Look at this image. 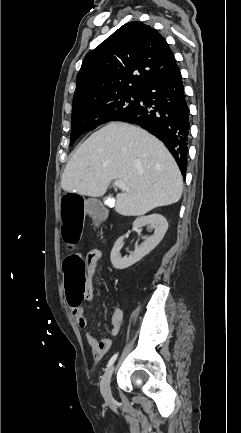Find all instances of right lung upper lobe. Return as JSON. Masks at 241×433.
<instances>
[{
    "instance_id": "right-lung-upper-lobe-1",
    "label": "right lung upper lobe",
    "mask_w": 241,
    "mask_h": 433,
    "mask_svg": "<svg viewBox=\"0 0 241 433\" xmlns=\"http://www.w3.org/2000/svg\"><path fill=\"white\" fill-rule=\"evenodd\" d=\"M175 65L170 47L155 29L138 21L126 23L85 56L73 104L140 91Z\"/></svg>"
}]
</instances>
